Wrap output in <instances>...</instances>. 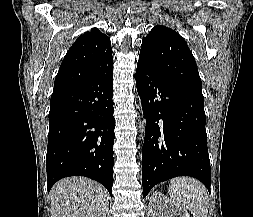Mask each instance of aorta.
Returning a JSON list of instances; mask_svg holds the SVG:
<instances>
[{
  "label": "aorta",
  "instance_id": "obj_1",
  "mask_svg": "<svg viewBox=\"0 0 253 217\" xmlns=\"http://www.w3.org/2000/svg\"><path fill=\"white\" fill-rule=\"evenodd\" d=\"M145 126H146V122L145 119L142 118V120L140 121V125H139V129H140V137L139 139L143 140L144 139V135H145Z\"/></svg>",
  "mask_w": 253,
  "mask_h": 217
}]
</instances>
